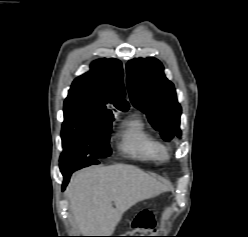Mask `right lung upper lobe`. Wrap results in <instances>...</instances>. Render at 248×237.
<instances>
[{"instance_id": "1", "label": "right lung upper lobe", "mask_w": 248, "mask_h": 237, "mask_svg": "<svg viewBox=\"0 0 248 237\" xmlns=\"http://www.w3.org/2000/svg\"><path fill=\"white\" fill-rule=\"evenodd\" d=\"M123 85V69L116 59H100L91 64V70L77 77L69 90L64 106L76 107L98 116H113L107 108L114 105L119 110H127Z\"/></svg>"}]
</instances>
